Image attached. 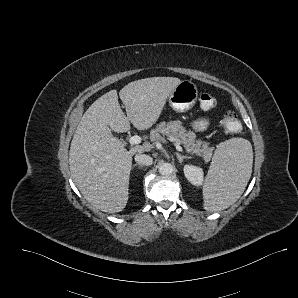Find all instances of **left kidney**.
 <instances>
[{
  "label": "left kidney",
  "instance_id": "left-kidney-1",
  "mask_svg": "<svg viewBox=\"0 0 298 298\" xmlns=\"http://www.w3.org/2000/svg\"><path fill=\"white\" fill-rule=\"evenodd\" d=\"M183 174L186 180L196 187H203L205 172L203 167L199 165L186 163L183 166Z\"/></svg>",
  "mask_w": 298,
  "mask_h": 298
}]
</instances>
